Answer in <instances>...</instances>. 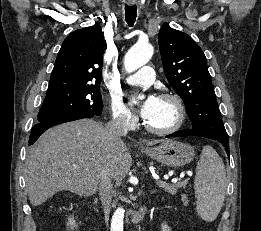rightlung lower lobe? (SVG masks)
<instances>
[{"label": "right lung lower lobe", "instance_id": "1", "mask_svg": "<svg viewBox=\"0 0 261 231\" xmlns=\"http://www.w3.org/2000/svg\"><path fill=\"white\" fill-rule=\"evenodd\" d=\"M94 116H99L96 114L92 113H74V114H69V115H64L60 116L57 118H53L44 122H40L36 124L31 131L30 137H29V146L32 145L38 138L39 136L46 131L48 128L65 123V122H70L78 119H83V118H92Z\"/></svg>", "mask_w": 261, "mask_h": 231}]
</instances>
